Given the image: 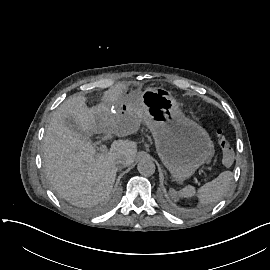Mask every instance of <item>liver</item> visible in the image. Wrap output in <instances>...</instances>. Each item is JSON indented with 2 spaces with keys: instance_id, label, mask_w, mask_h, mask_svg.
<instances>
[{
  "instance_id": "liver-1",
  "label": "liver",
  "mask_w": 270,
  "mask_h": 270,
  "mask_svg": "<svg viewBox=\"0 0 270 270\" xmlns=\"http://www.w3.org/2000/svg\"><path fill=\"white\" fill-rule=\"evenodd\" d=\"M126 83L117 84L104 92L101 103L95 108L86 106L84 96H72L54 113L43 139V158L48 180L58 194L71 204L91 207L109 198L116 178L117 162H134L137 144L116 140L107 154H96L89 137L97 127L124 137L136 133L145 116L139 104L141 92L129 94V110L112 118L111 107L122 102ZM73 118L82 128L76 133L66 126ZM99 122L98 125L96 122Z\"/></svg>"
}]
</instances>
